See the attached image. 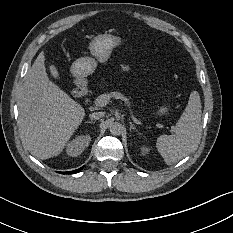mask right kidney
Wrapping results in <instances>:
<instances>
[{"label":"right kidney","mask_w":233,"mask_h":233,"mask_svg":"<svg viewBox=\"0 0 233 233\" xmlns=\"http://www.w3.org/2000/svg\"><path fill=\"white\" fill-rule=\"evenodd\" d=\"M91 137L89 135H80L70 141L66 146V153L71 157L79 156L85 148L89 146Z\"/></svg>","instance_id":"obj_1"}]
</instances>
